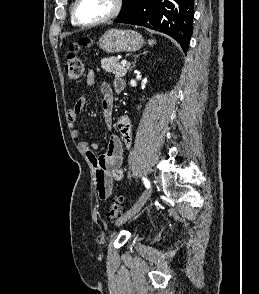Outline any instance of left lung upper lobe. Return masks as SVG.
I'll list each match as a JSON object with an SVG mask.
<instances>
[{"mask_svg":"<svg viewBox=\"0 0 259 294\" xmlns=\"http://www.w3.org/2000/svg\"><path fill=\"white\" fill-rule=\"evenodd\" d=\"M134 0H124V7L120 15L127 13L133 8Z\"/></svg>","mask_w":259,"mask_h":294,"instance_id":"5c2ea615","label":"left lung upper lobe"}]
</instances>
